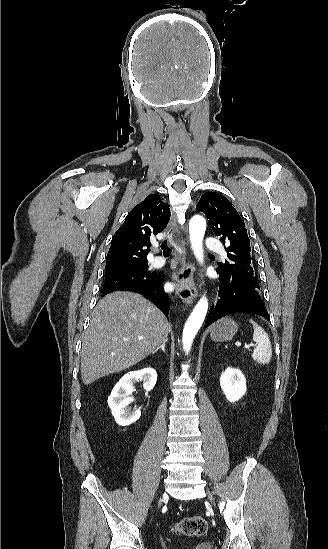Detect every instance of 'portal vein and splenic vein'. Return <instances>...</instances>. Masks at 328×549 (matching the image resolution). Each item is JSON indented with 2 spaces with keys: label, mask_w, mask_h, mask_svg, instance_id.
Listing matches in <instances>:
<instances>
[{
  "label": "portal vein and splenic vein",
  "mask_w": 328,
  "mask_h": 549,
  "mask_svg": "<svg viewBox=\"0 0 328 549\" xmlns=\"http://www.w3.org/2000/svg\"><path fill=\"white\" fill-rule=\"evenodd\" d=\"M138 339H143V337H138ZM237 347H240L241 343H236ZM250 347H256V344H247V347H244V350H250Z\"/></svg>",
  "instance_id": "obj_1"
}]
</instances>
